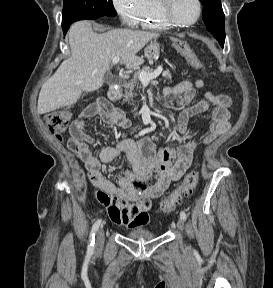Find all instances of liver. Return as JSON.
Returning <instances> with one entry per match:
<instances>
[{
	"label": "liver",
	"mask_w": 273,
	"mask_h": 288,
	"mask_svg": "<svg viewBox=\"0 0 273 288\" xmlns=\"http://www.w3.org/2000/svg\"><path fill=\"white\" fill-rule=\"evenodd\" d=\"M68 35L71 56L42 85L37 105L39 114L73 105L83 92L102 87L114 57H120L127 69L138 68L144 60L137 53L159 37L156 32L129 29L99 34L92 30L89 21L74 23Z\"/></svg>",
	"instance_id": "1"
}]
</instances>
